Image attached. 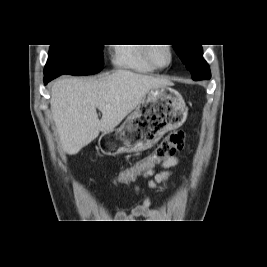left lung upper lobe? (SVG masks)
<instances>
[{
	"label": "left lung upper lobe",
	"mask_w": 267,
	"mask_h": 267,
	"mask_svg": "<svg viewBox=\"0 0 267 267\" xmlns=\"http://www.w3.org/2000/svg\"><path fill=\"white\" fill-rule=\"evenodd\" d=\"M176 53L192 74L193 80L211 78L209 65L203 58L201 45H173Z\"/></svg>",
	"instance_id": "1"
}]
</instances>
